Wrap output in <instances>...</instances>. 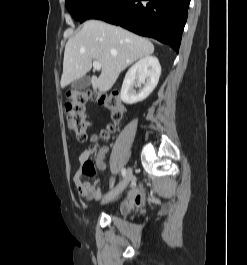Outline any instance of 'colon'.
<instances>
[{
    "label": "colon",
    "instance_id": "5ec220e1",
    "mask_svg": "<svg viewBox=\"0 0 247 265\" xmlns=\"http://www.w3.org/2000/svg\"><path fill=\"white\" fill-rule=\"evenodd\" d=\"M91 99L102 105L110 113L113 121V124L101 133V138L106 139L109 137L125 113V107L117 92L93 94L87 90L72 91L69 93V101L66 103L67 122L68 127L79 142L88 140L90 122L87 115V102ZM93 139H96V137H93ZM84 171L88 175H93L95 167L91 162H88L84 166Z\"/></svg>",
    "mask_w": 247,
    "mask_h": 265
}]
</instances>
